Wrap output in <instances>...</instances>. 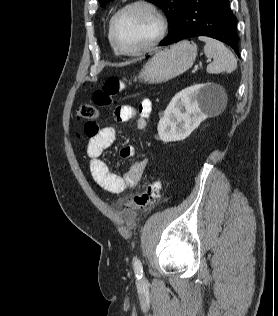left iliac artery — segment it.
I'll use <instances>...</instances> for the list:
<instances>
[{"label":"left iliac artery","instance_id":"1","mask_svg":"<svg viewBox=\"0 0 278 316\" xmlns=\"http://www.w3.org/2000/svg\"><path fill=\"white\" fill-rule=\"evenodd\" d=\"M134 270H135L136 276L138 278L142 277V275H143L142 263H141L140 259H138V258H136L134 261Z\"/></svg>","mask_w":278,"mask_h":316}]
</instances>
